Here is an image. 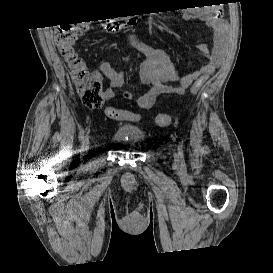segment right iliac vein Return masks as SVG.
Listing matches in <instances>:
<instances>
[{"instance_id":"obj_1","label":"right iliac vein","mask_w":273,"mask_h":273,"mask_svg":"<svg viewBox=\"0 0 273 273\" xmlns=\"http://www.w3.org/2000/svg\"><path fill=\"white\" fill-rule=\"evenodd\" d=\"M89 138L88 136H85L83 141H82V150L87 151L89 149Z\"/></svg>"}]
</instances>
